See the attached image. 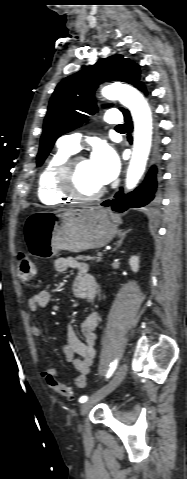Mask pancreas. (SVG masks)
<instances>
[{
  "instance_id": "pancreas-1",
  "label": "pancreas",
  "mask_w": 187,
  "mask_h": 479,
  "mask_svg": "<svg viewBox=\"0 0 187 479\" xmlns=\"http://www.w3.org/2000/svg\"><path fill=\"white\" fill-rule=\"evenodd\" d=\"M76 259H77V260H82V261H86V260H89V259L95 260L96 262L101 261V258H100V257L89 258V257L84 256V255H78V256L76 257Z\"/></svg>"
}]
</instances>
